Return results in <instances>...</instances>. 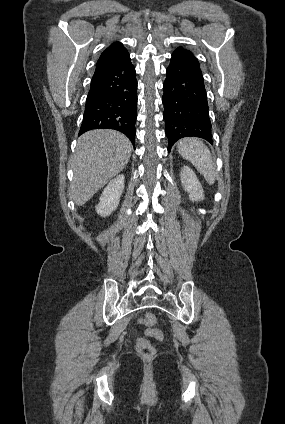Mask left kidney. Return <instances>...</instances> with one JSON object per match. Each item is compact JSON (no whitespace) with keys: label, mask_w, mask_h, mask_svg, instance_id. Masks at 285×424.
<instances>
[{"label":"left kidney","mask_w":285,"mask_h":424,"mask_svg":"<svg viewBox=\"0 0 285 424\" xmlns=\"http://www.w3.org/2000/svg\"><path fill=\"white\" fill-rule=\"evenodd\" d=\"M182 185L189 193L191 201H200L204 199L203 188L199 182L195 172L188 166H184L181 169L180 174Z\"/></svg>","instance_id":"1"}]
</instances>
